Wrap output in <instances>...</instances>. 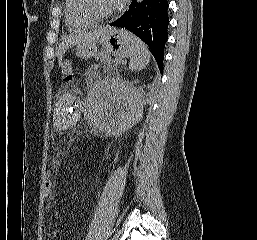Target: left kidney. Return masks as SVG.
<instances>
[{
  "label": "left kidney",
  "mask_w": 257,
  "mask_h": 240,
  "mask_svg": "<svg viewBox=\"0 0 257 240\" xmlns=\"http://www.w3.org/2000/svg\"><path fill=\"white\" fill-rule=\"evenodd\" d=\"M143 103L138 90L128 81L105 78L93 96V119L107 134L117 135L134 126L142 117Z\"/></svg>",
  "instance_id": "1"
}]
</instances>
